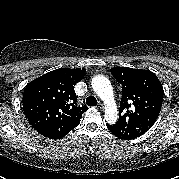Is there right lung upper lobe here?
<instances>
[{
    "label": "right lung upper lobe",
    "mask_w": 179,
    "mask_h": 179,
    "mask_svg": "<svg viewBox=\"0 0 179 179\" xmlns=\"http://www.w3.org/2000/svg\"><path fill=\"white\" fill-rule=\"evenodd\" d=\"M85 72L80 68H59L26 86L23 110L32 127L41 135L59 139L79 125L88 108L77 105L74 86Z\"/></svg>",
    "instance_id": "cb5924a9"
}]
</instances>
